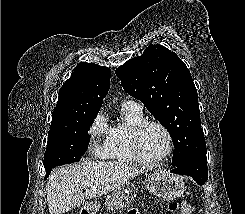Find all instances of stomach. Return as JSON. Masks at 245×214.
<instances>
[{
  "label": "stomach",
  "mask_w": 245,
  "mask_h": 214,
  "mask_svg": "<svg viewBox=\"0 0 245 214\" xmlns=\"http://www.w3.org/2000/svg\"><path fill=\"white\" fill-rule=\"evenodd\" d=\"M145 186L149 192L164 200L178 198L185 191L183 180L179 176L165 171H158L148 175L145 179ZM136 196L137 188L133 183L127 182L107 196L105 205L109 210H118L131 204ZM84 208L89 214H96V206L87 204Z\"/></svg>",
  "instance_id": "stomach-1"
}]
</instances>
